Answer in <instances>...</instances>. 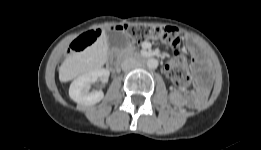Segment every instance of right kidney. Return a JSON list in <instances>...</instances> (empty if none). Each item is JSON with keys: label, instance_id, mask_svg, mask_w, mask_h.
Here are the masks:
<instances>
[{"label": "right kidney", "instance_id": "right-kidney-1", "mask_svg": "<svg viewBox=\"0 0 261 150\" xmlns=\"http://www.w3.org/2000/svg\"><path fill=\"white\" fill-rule=\"evenodd\" d=\"M109 75V70L104 68L83 73L71 83L69 88L70 98L83 105H93L100 102L104 97V93L98 90L90 91L91 84L98 80L107 82Z\"/></svg>", "mask_w": 261, "mask_h": 150}]
</instances>
